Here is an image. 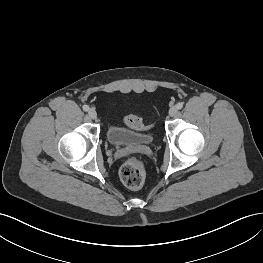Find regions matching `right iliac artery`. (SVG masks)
I'll return each mask as SVG.
<instances>
[{"label": "right iliac artery", "instance_id": "right-iliac-artery-1", "mask_svg": "<svg viewBox=\"0 0 263 263\" xmlns=\"http://www.w3.org/2000/svg\"><path fill=\"white\" fill-rule=\"evenodd\" d=\"M82 108H83L84 111H88L89 110V106L88 105H83Z\"/></svg>", "mask_w": 263, "mask_h": 263}]
</instances>
